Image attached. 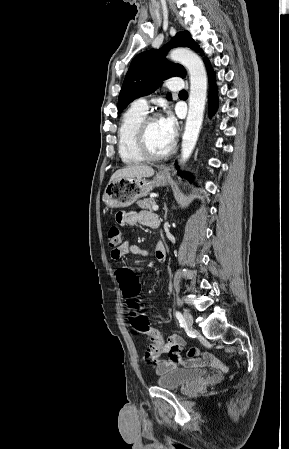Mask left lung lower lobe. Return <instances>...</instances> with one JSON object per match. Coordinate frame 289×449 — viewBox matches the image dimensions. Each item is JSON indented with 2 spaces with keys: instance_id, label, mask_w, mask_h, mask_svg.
<instances>
[{
  "instance_id": "0a47b994",
  "label": "left lung lower lobe",
  "mask_w": 289,
  "mask_h": 449,
  "mask_svg": "<svg viewBox=\"0 0 289 449\" xmlns=\"http://www.w3.org/2000/svg\"><path fill=\"white\" fill-rule=\"evenodd\" d=\"M204 62L207 67L208 75H209V116L212 117V115L215 113L217 107H218V99H217V87L215 84V74L211 68V65L207 58H204ZM178 169V167H177ZM178 174L182 175L180 171H178ZM185 178H189L188 175L184 174Z\"/></svg>"
}]
</instances>
